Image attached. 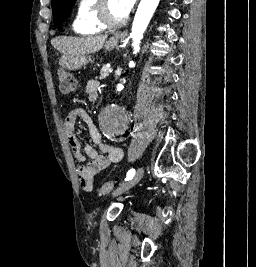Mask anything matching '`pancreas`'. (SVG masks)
I'll list each match as a JSON object with an SVG mask.
<instances>
[{"instance_id":"obj_1","label":"pancreas","mask_w":256,"mask_h":267,"mask_svg":"<svg viewBox=\"0 0 256 267\" xmlns=\"http://www.w3.org/2000/svg\"><path fill=\"white\" fill-rule=\"evenodd\" d=\"M108 70L109 68L103 66L102 70H100V78H106V76H108Z\"/></svg>"}]
</instances>
